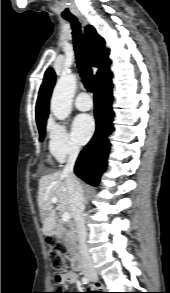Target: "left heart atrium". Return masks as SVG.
<instances>
[{
    "label": "left heart atrium",
    "mask_w": 170,
    "mask_h": 293,
    "mask_svg": "<svg viewBox=\"0 0 170 293\" xmlns=\"http://www.w3.org/2000/svg\"><path fill=\"white\" fill-rule=\"evenodd\" d=\"M95 131V122L92 116L80 114L72 122V135L77 143L85 144Z\"/></svg>",
    "instance_id": "39dd6f15"
}]
</instances>
